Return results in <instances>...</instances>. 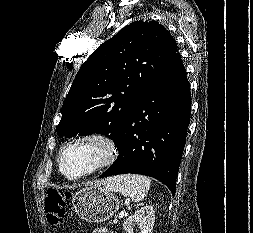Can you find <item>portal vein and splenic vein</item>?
<instances>
[{
  "instance_id": "1",
  "label": "portal vein and splenic vein",
  "mask_w": 253,
  "mask_h": 233,
  "mask_svg": "<svg viewBox=\"0 0 253 233\" xmlns=\"http://www.w3.org/2000/svg\"><path fill=\"white\" fill-rule=\"evenodd\" d=\"M125 214H126V212H125V211H122V212L119 214V217L122 218ZM114 223H115V224L118 223V219H117V218L114 219Z\"/></svg>"
}]
</instances>
